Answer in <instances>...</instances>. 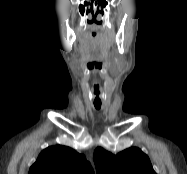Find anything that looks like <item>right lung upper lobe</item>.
<instances>
[{
  "label": "right lung upper lobe",
  "mask_w": 187,
  "mask_h": 174,
  "mask_svg": "<svg viewBox=\"0 0 187 174\" xmlns=\"http://www.w3.org/2000/svg\"><path fill=\"white\" fill-rule=\"evenodd\" d=\"M29 174H94L83 154L56 145L43 150L30 167Z\"/></svg>",
  "instance_id": "right-lung-upper-lobe-1"
}]
</instances>
